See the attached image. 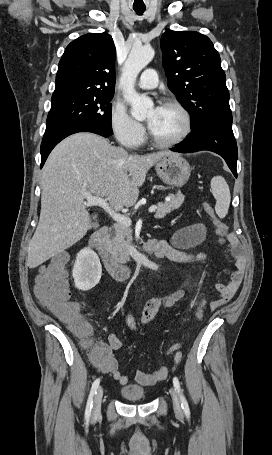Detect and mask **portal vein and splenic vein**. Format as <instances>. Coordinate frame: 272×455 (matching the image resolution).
<instances>
[{"label":"portal vein and splenic vein","instance_id":"portal-vein-and-splenic-vein-1","mask_svg":"<svg viewBox=\"0 0 272 455\" xmlns=\"http://www.w3.org/2000/svg\"><path fill=\"white\" fill-rule=\"evenodd\" d=\"M85 198L86 206H99L103 208L118 224L123 226H130L132 224V221L129 217L116 213L113 209H111L106 199L101 198L99 196H94L87 192L85 193ZM156 209H157L156 206H151L149 208V212L150 213L155 212Z\"/></svg>","mask_w":272,"mask_h":455}]
</instances>
